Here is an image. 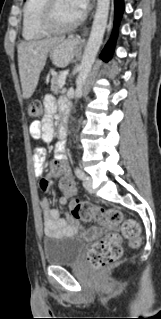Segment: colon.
<instances>
[{"label": "colon", "mask_w": 161, "mask_h": 319, "mask_svg": "<svg viewBox=\"0 0 161 319\" xmlns=\"http://www.w3.org/2000/svg\"><path fill=\"white\" fill-rule=\"evenodd\" d=\"M28 115L36 118L41 115V104L34 100L28 106ZM61 186L64 189L72 188L69 179H63ZM43 191L50 189V181L44 179L41 183ZM71 216L84 221L107 220L112 224H121L122 234L131 245L141 243L140 228L134 219L122 221V214L118 209H105L95 206L88 201L73 200L71 202ZM123 238L120 234L110 233L106 237L95 242L87 253V261L94 270H103L116 263L122 256Z\"/></svg>", "instance_id": "1"}]
</instances>
